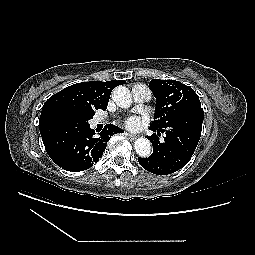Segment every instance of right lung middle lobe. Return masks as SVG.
I'll list each match as a JSON object with an SVG mask.
<instances>
[{
	"mask_svg": "<svg viewBox=\"0 0 255 255\" xmlns=\"http://www.w3.org/2000/svg\"><path fill=\"white\" fill-rule=\"evenodd\" d=\"M94 113L83 116H71L60 114L54 116L46 125L53 126L57 130L68 135H73L88 125V121L93 118Z\"/></svg>",
	"mask_w": 255,
	"mask_h": 255,
	"instance_id": "1",
	"label": "right lung middle lobe"
}]
</instances>
